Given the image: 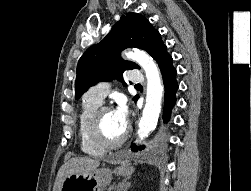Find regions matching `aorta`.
Returning a JSON list of instances; mask_svg holds the SVG:
<instances>
[{
	"label": "aorta",
	"mask_w": 251,
	"mask_h": 191,
	"mask_svg": "<svg viewBox=\"0 0 251 191\" xmlns=\"http://www.w3.org/2000/svg\"><path fill=\"white\" fill-rule=\"evenodd\" d=\"M124 56H126L128 60L137 62V64L143 68L147 78L146 103L137 131L140 139H143V137H147L150 131H153L157 125L164 88L161 84L160 72L155 62H153L152 58H150L146 52L133 50V52H124Z\"/></svg>",
	"instance_id": "obj_1"
}]
</instances>
